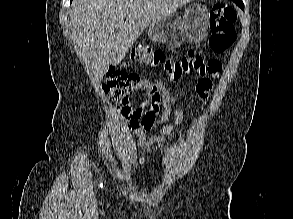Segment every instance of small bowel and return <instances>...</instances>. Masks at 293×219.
Returning <instances> with one entry per match:
<instances>
[{"mask_svg":"<svg viewBox=\"0 0 293 219\" xmlns=\"http://www.w3.org/2000/svg\"><path fill=\"white\" fill-rule=\"evenodd\" d=\"M198 83L196 92L202 99H206L212 83L203 90L198 88ZM142 89L148 95V100L137 108H132L130 105H127L123 108V112L128 118L127 128L136 132L140 137L139 146L144 151L150 152L155 143L161 146L175 132L176 127L182 121L183 111L180 108L176 110L174 124L169 127H163L161 136H152L146 140L144 138V132L152 131L162 126L171 114L172 107L177 106V101L171 91L165 88L160 82L144 81L142 83ZM146 105H149L148 110H145ZM158 111H160V115L157 118L156 113Z\"/></svg>","mask_w":293,"mask_h":219,"instance_id":"obj_1","label":"small bowel"}]
</instances>
